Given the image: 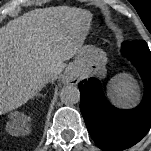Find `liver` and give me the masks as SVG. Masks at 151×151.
Returning <instances> with one entry per match:
<instances>
[{"mask_svg":"<svg viewBox=\"0 0 151 151\" xmlns=\"http://www.w3.org/2000/svg\"><path fill=\"white\" fill-rule=\"evenodd\" d=\"M90 11L67 6L36 9L0 28V115L33 98L64 61L80 53Z\"/></svg>","mask_w":151,"mask_h":151,"instance_id":"obj_1","label":"liver"}]
</instances>
